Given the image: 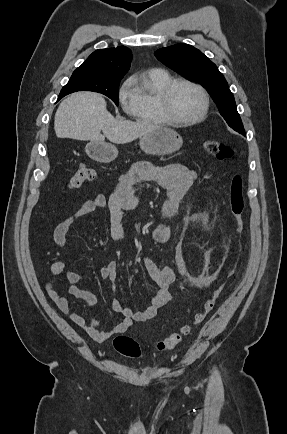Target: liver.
Here are the masks:
<instances>
[{
  "label": "liver",
  "mask_w": 287,
  "mask_h": 434,
  "mask_svg": "<svg viewBox=\"0 0 287 434\" xmlns=\"http://www.w3.org/2000/svg\"><path fill=\"white\" fill-rule=\"evenodd\" d=\"M160 127L147 122L119 121L106 108L105 99L93 92H77L65 98L54 118L59 138L118 144L129 143ZM103 132V135L101 134Z\"/></svg>",
  "instance_id": "1"
}]
</instances>
